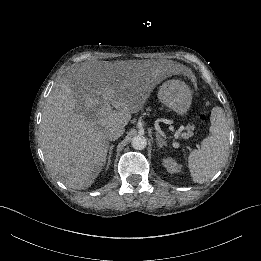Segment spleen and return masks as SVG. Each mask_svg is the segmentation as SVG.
<instances>
[{
    "mask_svg": "<svg viewBox=\"0 0 261 261\" xmlns=\"http://www.w3.org/2000/svg\"><path fill=\"white\" fill-rule=\"evenodd\" d=\"M211 135L198 150L188 156V170L193 183L209 181L222 167L229 148L228 122L224 110L215 106L210 116Z\"/></svg>",
    "mask_w": 261,
    "mask_h": 261,
    "instance_id": "spleen-1",
    "label": "spleen"
}]
</instances>
